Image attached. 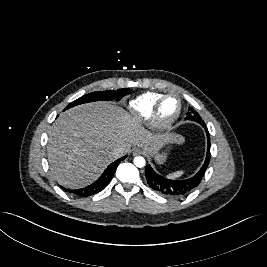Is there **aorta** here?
Masks as SVG:
<instances>
[{
  "label": "aorta",
  "mask_w": 267,
  "mask_h": 267,
  "mask_svg": "<svg viewBox=\"0 0 267 267\" xmlns=\"http://www.w3.org/2000/svg\"><path fill=\"white\" fill-rule=\"evenodd\" d=\"M146 164L145 159L142 156H137L134 158V165L138 168L144 167Z\"/></svg>",
  "instance_id": "aorta-1"
}]
</instances>
